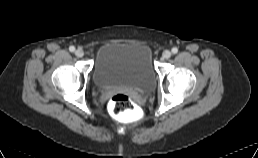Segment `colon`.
Masks as SVG:
<instances>
[{"mask_svg":"<svg viewBox=\"0 0 258 158\" xmlns=\"http://www.w3.org/2000/svg\"><path fill=\"white\" fill-rule=\"evenodd\" d=\"M108 109L113 116L125 118L132 112L133 102L129 95L117 93L111 97Z\"/></svg>","mask_w":258,"mask_h":158,"instance_id":"5ec220e1","label":"colon"}]
</instances>
